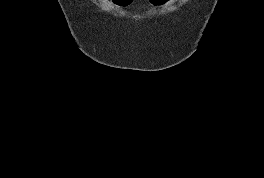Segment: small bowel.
<instances>
[{"label": "small bowel", "instance_id": "small-bowel-1", "mask_svg": "<svg viewBox=\"0 0 264 178\" xmlns=\"http://www.w3.org/2000/svg\"><path fill=\"white\" fill-rule=\"evenodd\" d=\"M133 2V0L130 2V4ZM130 4H128V6L130 5Z\"/></svg>", "mask_w": 264, "mask_h": 178}]
</instances>
